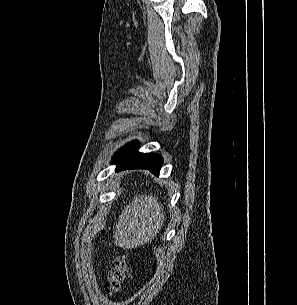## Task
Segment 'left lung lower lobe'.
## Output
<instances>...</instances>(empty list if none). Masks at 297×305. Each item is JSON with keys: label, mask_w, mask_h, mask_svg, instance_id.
<instances>
[{"label": "left lung lower lobe", "mask_w": 297, "mask_h": 305, "mask_svg": "<svg viewBox=\"0 0 297 305\" xmlns=\"http://www.w3.org/2000/svg\"><path fill=\"white\" fill-rule=\"evenodd\" d=\"M138 143L127 144L113 157L112 161L117 164L116 171L127 169H147L155 175L163 164L161 155L155 153H139L136 151Z\"/></svg>", "instance_id": "0a47b994"}]
</instances>
